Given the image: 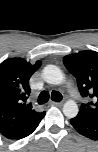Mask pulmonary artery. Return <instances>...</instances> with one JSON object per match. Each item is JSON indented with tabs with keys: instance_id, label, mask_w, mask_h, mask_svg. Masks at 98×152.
Returning <instances> with one entry per match:
<instances>
[{
	"instance_id": "pulmonary-artery-1",
	"label": "pulmonary artery",
	"mask_w": 98,
	"mask_h": 152,
	"mask_svg": "<svg viewBox=\"0 0 98 152\" xmlns=\"http://www.w3.org/2000/svg\"><path fill=\"white\" fill-rule=\"evenodd\" d=\"M68 89H69V92L71 94V96L73 98H75L76 100L79 99V95L76 93L75 89H74V86L71 82H68Z\"/></svg>"
}]
</instances>
